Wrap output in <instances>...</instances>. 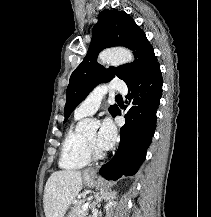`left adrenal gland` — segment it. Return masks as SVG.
I'll use <instances>...</instances> for the list:
<instances>
[{
  "instance_id": "left-adrenal-gland-1",
  "label": "left adrenal gland",
  "mask_w": 211,
  "mask_h": 217,
  "mask_svg": "<svg viewBox=\"0 0 211 217\" xmlns=\"http://www.w3.org/2000/svg\"><path fill=\"white\" fill-rule=\"evenodd\" d=\"M115 192H104L101 191L99 193L95 194V201L92 204V209L94 210L95 206L98 205L102 200H109L110 198H113L115 196Z\"/></svg>"
}]
</instances>
